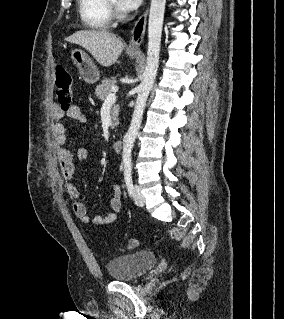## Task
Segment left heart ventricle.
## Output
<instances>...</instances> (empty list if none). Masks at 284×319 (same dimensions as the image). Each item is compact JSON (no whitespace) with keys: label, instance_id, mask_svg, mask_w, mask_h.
<instances>
[{"label":"left heart ventricle","instance_id":"left-heart-ventricle-1","mask_svg":"<svg viewBox=\"0 0 284 319\" xmlns=\"http://www.w3.org/2000/svg\"><path fill=\"white\" fill-rule=\"evenodd\" d=\"M112 1L118 7V1L117 0H112Z\"/></svg>","mask_w":284,"mask_h":319}]
</instances>
